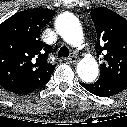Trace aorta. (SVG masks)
I'll use <instances>...</instances> for the list:
<instances>
[{
	"label": "aorta",
	"mask_w": 127,
	"mask_h": 127,
	"mask_svg": "<svg viewBox=\"0 0 127 127\" xmlns=\"http://www.w3.org/2000/svg\"><path fill=\"white\" fill-rule=\"evenodd\" d=\"M60 36L70 45L80 47L83 43V32L78 19L71 13L58 16L55 23ZM77 73L86 83L93 82L99 74L96 60L91 55H85L77 64Z\"/></svg>",
	"instance_id": "762f6f07"
}]
</instances>
